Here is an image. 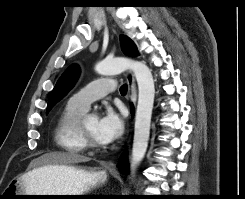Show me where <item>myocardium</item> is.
I'll use <instances>...</instances> for the list:
<instances>
[{
	"mask_svg": "<svg viewBox=\"0 0 245 199\" xmlns=\"http://www.w3.org/2000/svg\"><path fill=\"white\" fill-rule=\"evenodd\" d=\"M79 136L86 149L99 150L102 147L101 143L94 141L86 132L84 119H81L79 122Z\"/></svg>",
	"mask_w": 245,
	"mask_h": 199,
	"instance_id": "f54148a6",
	"label": "myocardium"
}]
</instances>
